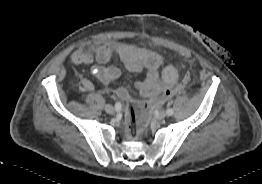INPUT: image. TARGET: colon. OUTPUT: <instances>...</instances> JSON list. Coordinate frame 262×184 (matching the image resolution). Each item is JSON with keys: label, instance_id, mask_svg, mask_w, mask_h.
Masks as SVG:
<instances>
[{"label": "colon", "instance_id": "colon-1", "mask_svg": "<svg viewBox=\"0 0 262 184\" xmlns=\"http://www.w3.org/2000/svg\"><path fill=\"white\" fill-rule=\"evenodd\" d=\"M190 80L189 73H185L182 80L174 87L166 90L158 97L154 98L148 103H136L129 98L128 92L125 88L120 87L116 90L117 96L127 103L129 113V127L130 129L142 128L147 121V109L160 101L179 94Z\"/></svg>", "mask_w": 262, "mask_h": 184}]
</instances>
